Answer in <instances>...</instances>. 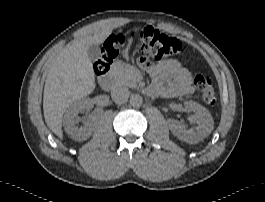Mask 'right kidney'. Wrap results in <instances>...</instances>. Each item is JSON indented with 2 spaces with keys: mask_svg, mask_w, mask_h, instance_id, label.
I'll use <instances>...</instances> for the list:
<instances>
[{
  "mask_svg": "<svg viewBox=\"0 0 265 202\" xmlns=\"http://www.w3.org/2000/svg\"><path fill=\"white\" fill-rule=\"evenodd\" d=\"M90 104L89 98H82L75 101L66 111L63 118V126L68 136L76 141L88 139L97 128L101 116V110H94L83 122L84 126L78 127L76 119L79 113L84 112Z\"/></svg>",
  "mask_w": 265,
  "mask_h": 202,
  "instance_id": "right-kidney-1",
  "label": "right kidney"
}]
</instances>
